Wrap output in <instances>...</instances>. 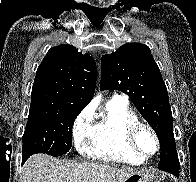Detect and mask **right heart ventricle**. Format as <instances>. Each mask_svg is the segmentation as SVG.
<instances>
[{
    "instance_id": "right-heart-ventricle-1",
    "label": "right heart ventricle",
    "mask_w": 196,
    "mask_h": 182,
    "mask_svg": "<svg viewBox=\"0 0 196 182\" xmlns=\"http://www.w3.org/2000/svg\"><path fill=\"white\" fill-rule=\"evenodd\" d=\"M140 122L128 102L120 97L110 99L92 129L87 153L105 162L140 165L145 158L133 152L127 142V133Z\"/></svg>"
}]
</instances>
